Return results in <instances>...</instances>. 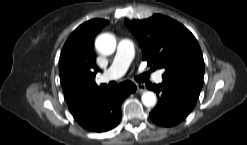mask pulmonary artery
<instances>
[{"mask_svg":"<svg viewBox=\"0 0 247 145\" xmlns=\"http://www.w3.org/2000/svg\"><path fill=\"white\" fill-rule=\"evenodd\" d=\"M134 53L135 49L133 42L128 39H122L112 64L100 76L99 81L105 83L122 77L126 73L131 61L133 60ZM154 79L157 83L162 82V72H157L154 76Z\"/></svg>","mask_w":247,"mask_h":145,"instance_id":"pulmonary-artery-1","label":"pulmonary artery"}]
</instances>
